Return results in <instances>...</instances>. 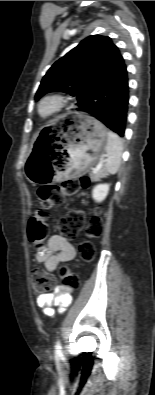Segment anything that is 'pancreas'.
Returning a JSON list of instances; mask_svg holds the SVG:
<instances>
[{"label":"pancreas","mask_w":155,"mask_h":395,"mask_svg":"<svg viewBox=\"0 0 155 395\" xmlns=\"http://www.w3.org/2000/svg\"><path fill=\"white\" fill-rule=\"evenodd\" d=\"M104 176H106L105 170H104V171L93 172V173L90 175V178H91L92 180H99L100 178H102V177H104Z\"/></svg>","instance_id":"pancreas-1"}]
</instances>
